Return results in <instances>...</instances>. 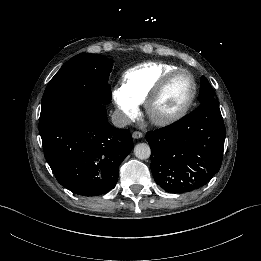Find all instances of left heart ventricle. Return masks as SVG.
<instances>
[{
    "mask_svg": "<svg viewBox=\"0 0 261 261\" xmlns=\"http://www.w3.org/2000/svg\"><path fill=\"white\" fill-rule=\"evenodd\" d=\"M192 84L185 74H177L155 108L158 115H168L178 111L189 99Z\"/></svg>",
    "mask_w": 261,
    "mask_h": 261,
    "instance_id": "b2bd125f",
    "label": "left heart ventricle"
}]
</instances>
